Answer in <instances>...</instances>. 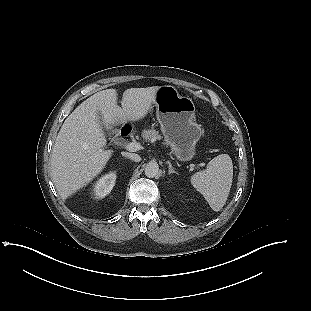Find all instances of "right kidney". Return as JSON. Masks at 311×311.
Here are the masks:
<instances>
[{
  "mask_svg": "<svg viewBox=\"0 0 311 311\" xmlns=\"http://www.w3.org/2000/svg\"><path fill=\"white\" fill-rule=\"evenodd\" d=\"M115 184V178L113 176H107L101 178L94 186V194L97 198H104L109 194Z\"/></svg>",
  "mask_w": 311,
  "mask_h": 311,
  "instance_id": "ca27d5eb",
  "label": "right kidney"
}]
</instances>
